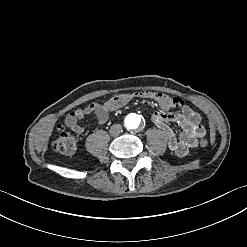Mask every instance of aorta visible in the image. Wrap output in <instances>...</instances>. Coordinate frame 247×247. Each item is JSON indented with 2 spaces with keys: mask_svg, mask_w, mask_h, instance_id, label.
<instances>
[{
  "mask_svg": "<svg viewBox=\"0 0 247 247\" xmlns=\"http://www.w3.org/2000/svg\"><path fill=\"white\" fill-rule=\"evenodd\" d=\"M140 117L138 115H130L127 119H126V126L129 129H136L139 124H140Z\"/></svg>",
  "mask_w": 247,
  "mask_h": 247,
  "instance_id": "aorta-1",
  "label": "aorta"
}]
</instances>
